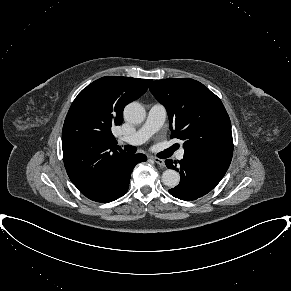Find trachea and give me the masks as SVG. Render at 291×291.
<instances>
[{
    "label": "trachea",
    "mask_w": 291,
    "mask_h": 291,
    "mask_svg": "<svg viewBox=\"0 0 291 291\" xmlns=\"http://www.w3.org/2000/svg\"><path fill=\"white\" fill-rule=\"evenodd\" d=\"M124 150L130 153H135L137 151L136 147L131 145L124 146Z\"/></svg>",
    "instance_id": "1"
}]
</instances>
